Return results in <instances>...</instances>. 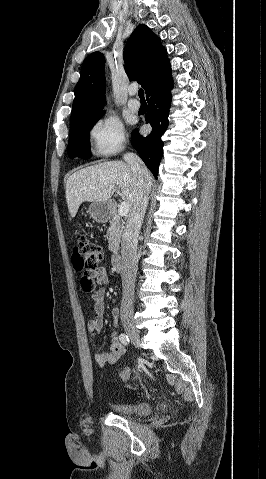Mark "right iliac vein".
<instances>
[{
  "label": "right iliac vein",
  "instance_id": "right-iliac-vein-1",
  "mask_svg": "<svg viewBox=\"0 0 266 479\" xmlns=\"http://www.w3.org/2000/svg\"><path fill=\"white\" fill-rule=\"evenodd\" d=\"M124 328H125V331H126L128 337L130 338L131 342L135 346L139 347L141 345V340H140L139 332H138L137 328L135 327V325L131 322L124 323Z\"/></svg>",
  "mask_w": 266,
  "mask_h": 479
}]
</instances>
